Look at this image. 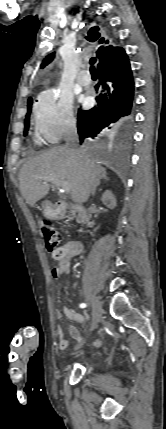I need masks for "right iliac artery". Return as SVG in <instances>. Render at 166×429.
Masks as SVG:
<instances>
[{
  "instance_id": "obj_1",
  "label": "right iliac artery",
  "mask_w": 166,
  "mask_h": 429,
  "mask_svg": "<svg viewBox=\"0 0 166 429\" xmlns=\"http://www.w3.org/2000/svg\"><path fill=\"white\" fill-rule=\"evenodd\" d=\"M87 305L85 303L80 304V308H85Z\"/></svg>"
}]
</instances>
